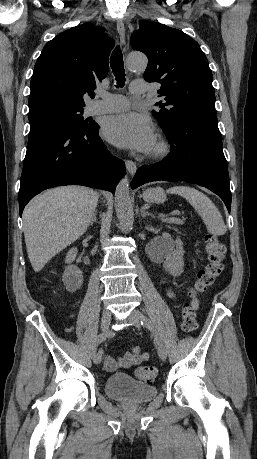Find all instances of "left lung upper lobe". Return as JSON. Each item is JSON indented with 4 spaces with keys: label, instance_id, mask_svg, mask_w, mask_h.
Segmentation results:
<instances>
[{
    "label": "left lung upper lobe",
    "instance_id": "left-lung-upper-lobe-1",
    "mask_svg": "<svg viewBox=\"0 0 257 459\" xmlns=\"http://www.w3.org/2000/svg\"><path fill=\"white\" fill-rule=\"evenodd\" d=\"M134 50L145 53L148 66L144 77L159 82V108L153 116L163 130L187 115L215 114L213 75L199 44L182 31L151 22L140 23L131 37Z\"/></svg>",
    "mask_w": 257,
    "mask_h": 459
}]
</instances>
